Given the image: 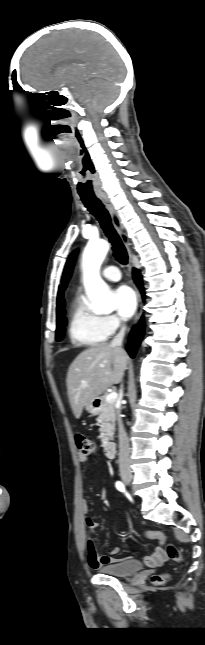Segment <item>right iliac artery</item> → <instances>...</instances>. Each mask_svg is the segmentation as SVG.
Masks as SVG:
<instances>
[{
	"instance_id": "right-iliac-artery-1",
	"label": "right iliac artery",
	"mask_w": 205,
	"mask_h": 645,
	"mask_svg": "<svg viewBox=\"0 0 205 645\" xmlns=\"http://www.w3.org/2000/svg\"><path fill=\"white\" fill-rule=\"evenodd\" d=\"M116 488H117L119 491L126 493L125 486H124V484H123L122 482L117 481V482H116Z\"/></svg>"
}]
</instances>
